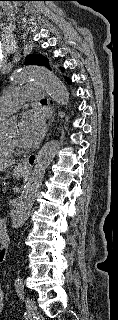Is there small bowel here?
I'll list each match as a JSON object with an SVG mask.
<instances>
[{"mask_svg":"<svg viewBox=\"0 0 118 320\" xmlns=\"http://www.w3.org/2000/svg\"><path fill=\"white\" fill-rule=\"evenodd\" d=\"M4 310V293L2 290V284L0 282V314L3 312Z\"/></svg>","mask_w":118,"mask_h":320,"instance_id":"1","label":"small bowel"}]
</instances>
